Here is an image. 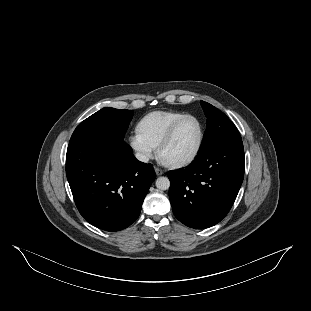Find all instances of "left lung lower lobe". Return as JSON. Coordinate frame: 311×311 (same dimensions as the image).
<instances>
[{
  "mask_svg": "<svg viewBox=\"0 0 311 311\" xmlns=\"http://www.w3.org/2000/svg\"><path fill=\"white\" fill-rule=\"evenodd\" d=\"M244 177L242 139L223 142L197 155L186 168L168 172L176 218L195 229L220 222L231 209Z\"/></svg>",
  "mask_w": 311,
  "mask_h": 311,
  "instance_id": "left-lung-lower-lobe-1",
  "label": "left lung lower lobe"
}]
</instances>
